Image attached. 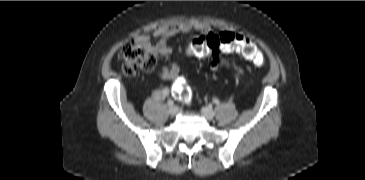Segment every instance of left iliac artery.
<instances>
[{"instance_id": "obj_1", "label": "left iliac artery", "mask_w": 365, "mask_h": 180, "mask_svg": "<svg viewBox=\"0 0 365 180\" xmlns=\"http://www.w3.org/2000/svg\"><path fill=\"white\" fill-rule=\"evenodd\" d=\"M213 102H214L215 104H217V105L220 103V102H219V100H218V99H216V98L213 100Z\"/></svg>"}]
</instances>
